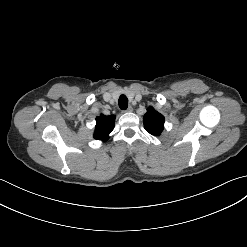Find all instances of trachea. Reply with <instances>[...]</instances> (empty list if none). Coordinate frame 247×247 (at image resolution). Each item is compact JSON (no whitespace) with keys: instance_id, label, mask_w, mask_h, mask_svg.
Wrapping results in <instances>:
<instances>
[{"instance_id":"obj_1","label":"trachea","mask_w":247,"mask_h":247,"mask_svg":"<svg viewBox=\"0 0 247 247\" xmlns=\"http://www.w3.org/2000/svg\"><path fill=\"white\" fill-rule=\"evenodd\" d=\"M118 103H119L120 109L126 110L128 108V99L125 95H121L119 97Z\"/></svg>"}]
</instances>
